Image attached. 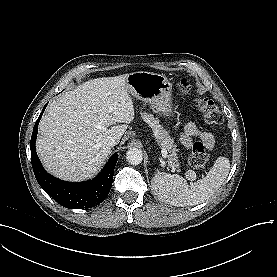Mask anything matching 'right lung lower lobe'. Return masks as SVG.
I'll return each mask as SVG.
<instances>
[{
  "label": "right lung lower lobe",
  "mask_w": 277,
  "mask_h": 277,
  "mask_svg": "<svg viewBox=\"0 0 277 277\" xmlns=\"http://www.w3.org/2000/svg\"><path fill=\"white\" fill-rule=\"evenodd\" d=\"M43 111L35 123L30 143L32 167L39 185L50 197L67 208H90L100 204L108 196L111 189L118 155L113 154L99 175L90 181L74 183L53 177L42 167L35 149L38 125Z\"/></svg>",
  "instance_id": "obj_1"
}]
</instances>
